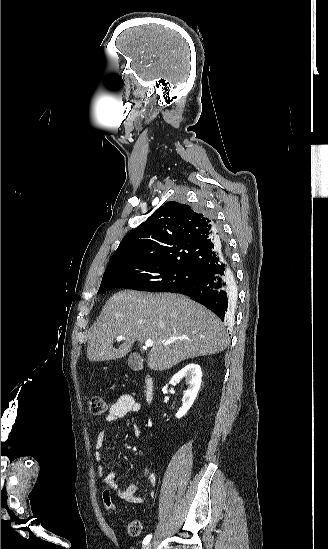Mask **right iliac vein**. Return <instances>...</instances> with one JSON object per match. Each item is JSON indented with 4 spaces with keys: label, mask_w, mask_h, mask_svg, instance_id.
Masks as SVG:
<instances>
[{
    "label": "right iliac vein",
    "mask_w": 328,
    "mask_h": 549,
    "mask_svg": "<svg viewBox=\"0 0 328 549\" xmlns=\"http://www.w3.org/2000/svg\"><path fill=\"white\" fill-rule=\"evenodd\" d=\"M152 547V544L151 543H147L143 549H151Z\"/></svg>",
    "instance_id": "right-iliac-vein-1"
}]
</instances>
